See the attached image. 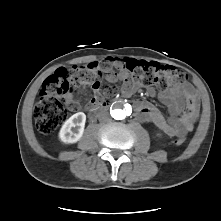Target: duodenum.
Wrapping results in <instances>:
<instances>
[{
    "mask_svg": "<svg viewBox=\"0 0 221 221\" xmlns=\"http://www.w3.org/2000/svg\"><path fill=\"white\" fill-rule=\"evenodd\" d=\"M111 102L108 100L99 101L95 106L91 108L89 113L90 119H95L99 113L110 106Z\"/></svg>",
    "mask_w": 221,
    "mask_h": 221,
    "instance_id": "duodenum-1",
    "label": "duodenum"
}]
</instances>
